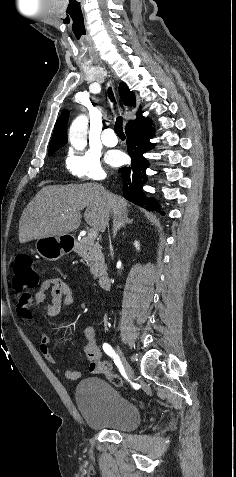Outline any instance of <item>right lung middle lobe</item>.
Segmentation results:
<instances>
[{
	"label": "right lung middle lobe",
	"mask_w": 236,
	"mask_h": 477,
	"mask_svg": "<svg viewBox=\"0 0 236 477\" xmlns=\"http://www.w3.org/2000/svg\"><path fill=\"white\" fill-rule=\"evenodd\" d=\"M59 148H60V147L49 150L48 154H49V155H52V154H53L54 152H56Z\"/></svg>",
	"instance_id": "right-lung-middle-lobe-1"
}]
</instances>
